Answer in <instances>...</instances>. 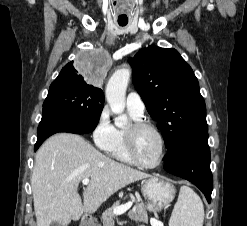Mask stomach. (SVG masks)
<instances>
[{
  "mask_svg": "<svg viewBox=\"0 0 247 226\" xmlns=\"http://www.w3.org/2000/svg\"><path fill=\"white\" fill-rule=\"evenodd\" d=\"M143 196L148 200L150 211H160L165 208L175 196V187L165 179L150 177L141 183Z\"/></svg>",
  "mask_w": 247,
  "mask_h": 226,
  "instance_id": "stomach-1",
  "label": "stomach"
}]
</instances>
